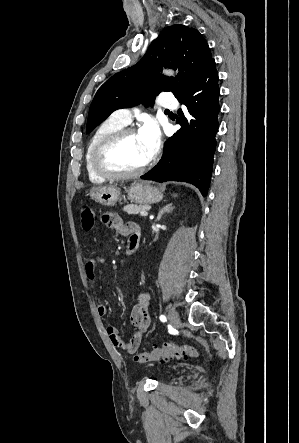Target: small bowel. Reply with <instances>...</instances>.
I'll use <instances>...</instances> for the list:
<instances>
[{
	"label": "small bowel",
	"instance_id": "c3829d8e",
	"mask_svg": "<svg viewBox=\"0 0 299 443\" xmlns=\"http://www.w3.org/2000/svg\"><path fill=\"white\" fill-rule=\"evenodd\" d=\"M101 222L109 228L116 229L123 235H130L129 243L135 239L140 240L139 226L134 222L125 224L122 218L116 213H104L101 216ZM105 262V259L102 257H94L87 262L86 273L91 282H95L96 279V265L105 264ZM149 300L150 298L147 292L141 291L138 294L137 301L130 313V320L135 327V332L129 340L122 339L115 327L109 326L106 328V333L114 347L121 349L128 354H133L137 351L151 323L149 315ZM107 312L108 309L106 305L98 300L97 313L100 316H105Z\"/></svg>",
	"mask_w": 299,
	"mask_h": 443
}]
</instances>
